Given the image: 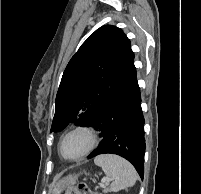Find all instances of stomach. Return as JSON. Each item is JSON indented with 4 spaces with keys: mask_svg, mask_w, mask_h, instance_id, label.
<instances>
[{
    "mask_svg": "<svg viewBox=\"0 0 201 194\" xmlns=\"http://www.w3.org/2000/svg\"><path fill=\"white\" fill-rule=\"evenodd\" d=\"M76 176H67L59 181H57L53 186V194H61L66 188L74 185L76 183Z\"/></svg>",
    "mask_w": 201,
    "mask_h": 194,
    "instance_id": "0dacf381",
    "label": "stomach"
}]
</instances>
